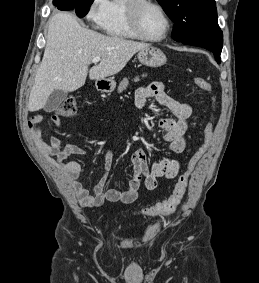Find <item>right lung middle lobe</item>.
<instances>
[{
    "label": "right lung middle lobe",
    "mask_w": 259,
    "mask_h": 283,
    "mask_svg": "<svg viewBox=\"0 0 259 283\" xmlns=\"http://www.w3.org/2000/svg\"><path fill=\"white\" fill-rule=\"evenodd\" d=\"M75 1H76V5H75L76 14L78 17L82 18L88 13L89 7L94 0H75Z\"/></svg>",
    "instance_id": "right-lung-middle-lobe-1"
}]
</instances>
